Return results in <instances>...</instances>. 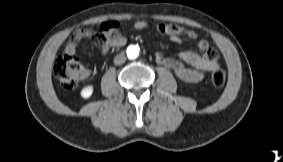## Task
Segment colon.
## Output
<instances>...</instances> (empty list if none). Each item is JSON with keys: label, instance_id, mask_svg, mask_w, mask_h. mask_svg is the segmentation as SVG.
I'll list each match as a JSON object with an SVG mask.
<instances>
[{"label": "colon", "instance_id": "colon-1", "mask_svg": "<svg viewBox=\"0 0 283 162\" xmlns=\"http://www.w3.org/2000/svg\"><path fill=\"white\" fill-rule=\"evenodd\" d=\"M53 73L65 88L72 89L85 76L86 70L78 57L66 54L56 59L53 65ZM225 80V70L219 65L216 66L211 71V82L214 86L221 87Z\"/></svg>", "mask_w": 283, "mask_h": 162}]
</instances>
